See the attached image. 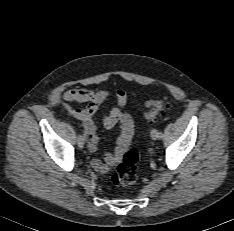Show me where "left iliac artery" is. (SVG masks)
Returning <instances> with one entry per match:
<instances>
[{
	"label": "left iliac artery",
	"mask_w": 234,
	"mask_h": 231,
	"mask_svg": "<svg viewBox=\"0 0 234 231\" xmlns=\"http://www.w3.org/2000/svg\"><path fill=\"white\" fill-rule=\"evenodd\" d=\"M158 135H159V138L163 137V134L161 132H159Z\"/></svg>",
	"instance_id": "obj_1"
}]
</instances>
